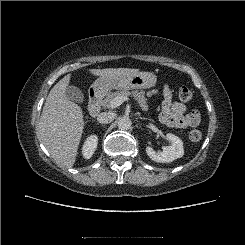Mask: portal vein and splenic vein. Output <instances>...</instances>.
Segmentation results:
<instances>
[{"label":"portal vein and splenic vein","mask_w":245,"mask_h":245,"mask_svg":"<svg viewBox=\"0 0 245 245\" xmlns=\"http://www.w3.org/2000/svg\"><path fill=\"white\" fill-rule=\"evenodd\" d=\"M128 100H129L128 97L118 96V97H115L114 99H112L110 105L112 108H116V107L120 106L124 101H128Z\"/></svg>","instance_id":"obj_1"}]
</instances>
